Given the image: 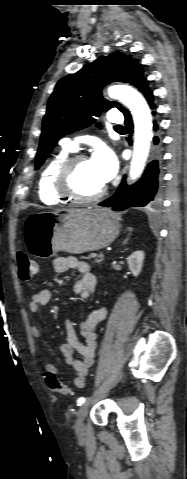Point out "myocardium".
Here are the masks:
<instances>
[{
  "mask_svg": "<svg viewBox=\"0 0 187 479\" xmlns=\"http://www.w3.org/2000/svg\"><path fill=\"white\" fill-rule=\"evenodd\" d=\"M89 159L87 155L78 153L67 157L60 165L54 181L56 192L75 203H92L101 199L106 191L107 186L104 185L97 193L91 196H82L78 194L72 186L73 174L79 162Z\"/></svg>",
  "mask_w": 187,
  "mask_h": 479,
  "instance_id": "f54148a6",
  "label": "myocardium"
}]
</instances>
